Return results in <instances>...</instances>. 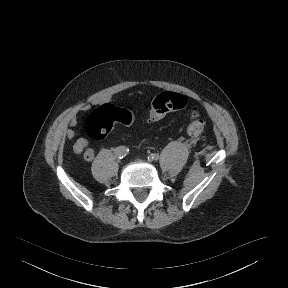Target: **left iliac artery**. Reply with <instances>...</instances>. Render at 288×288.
<instances>
[{
  "label": "left iliac artery",
  "instance_id": "1",
  "mask_svg": "<svg viewBox=\"0 0 288 288\" xmlns=\"http://www.w3.org/2000/svg\"><path fill=\"white\" fill-rule=\"evenodd\" d=\"M148 159L151 161H157L159 159V155L156 153H152L148 156Z\"/></svg>",
  "mask_w": 288,
  "mask_h": 288
}]
</instances>
